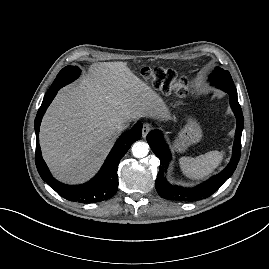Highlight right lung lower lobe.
<instances>
[{"label":"right lung lower lobe","mask_w":269,"mask_h":269,"mask_svg":"<svg viewBox=\"0 0 269 269\" xmlns=\"http://www.w3.org/2000/svg\"><path fill=\"white\" fill-rule=\"evenodd\" d=\"M62 85L51 88L44 96V100L35 118L36 154L35 162L41 178L60 196L69 201L80 203L101 202L116 194L118 189V164L126 154L131 143L142 136L143 125L139 122L131 130L124 133L115 143L99 173L89 182L83 185L70 186L55 180L45 164L39 145V129L42 117Z\"/></svg>","instance_id":"98d812e1"}]
</instances>
